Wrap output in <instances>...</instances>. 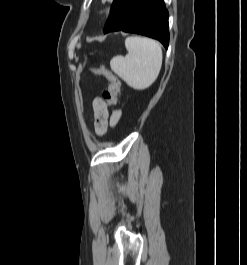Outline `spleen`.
I'll list each match as a JSON object with an SVG mask.
<instances>
[{"label": "spleen", "instance_id": "3e777b00", "mask_svg": "<svg viewBox=\"0 0 247 265\" xmlns=\"http://www.w3.org/2000/svg\"><path fill=\"white\" fill-rule=\"evenodd\" d=\"M125 47L128 54L113 57L111 69L133 89L149 88L161 70L163 56L160 44L146 37L131 36L126 38Z\"/></svg>", "mask_w": 247, "mask_h": 265}]
</instances>
